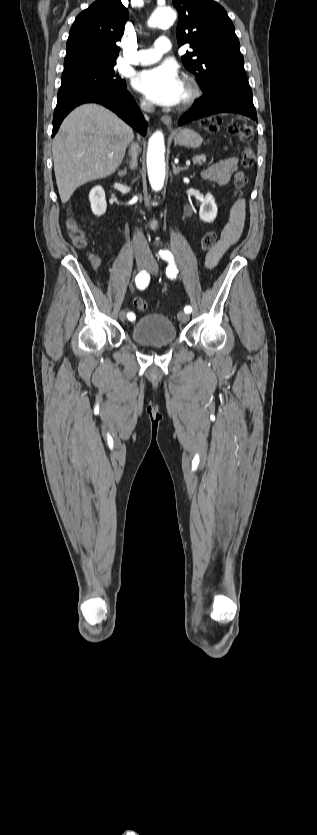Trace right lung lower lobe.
I'll return each mask as SVG.
<instances>
[{"label":"right lung lower lobe","instance_id":"98d812e1","mask_svg":"<svg viewBox=\"0 0 317 835\" xmlns=\"http://www.w3.org/2000/svg\"><path fill=\"white\" fill-rule=\"evenodd\" d=\"M91 102L109 108L140 134H146L147 123L142 117L135 100L126 90V87L95 86L81 89L58 98L53 116L52 137L56 134L61 122L72 109L80 104Z\"/></svg>","mask_w":317,"mask_h":835}]
</instances>
